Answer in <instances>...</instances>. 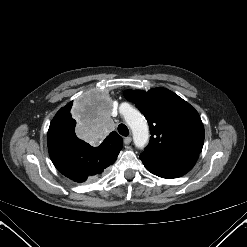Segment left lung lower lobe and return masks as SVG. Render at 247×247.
<instances>
[{"mask_svg": "<svg viewBox=\"0 0 247 247\" xmlns=\"http://www.w3.org/2000/svg\"><path fill=\"white\" fill-rule=\"evenodd\" d=\"M144 166L154 175L173 179L186 174L195 165L198 156H161L147 152L140 154Z\"/></svg>", "mask_w": 247, "mask_h": 247, "instance_id": "0a47b994", "label": "left lung lower lobe"}]
</instances>
